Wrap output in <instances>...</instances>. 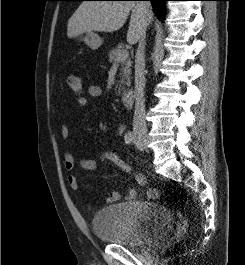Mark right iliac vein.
I'll list each match as a JSON object with an SVG mask.
<instances>
[{
	"mask_svg": "<svg viewBox=\"0 0 245 265\" xmlns=\"http://www.w3.org/2000/svg\"><path fill=\"white\" fill-rule=\"evenodd\" d=\"M135 144L137 146V148H139L140 150H147V141L144 138H137L135 140Z\"/></svg>",
	"mask_w": 245,
	"mask_h": 265,
	"instance_id": "right-iliac-vein-1",
	"label": "right iliac vein"
}]
</instances>
